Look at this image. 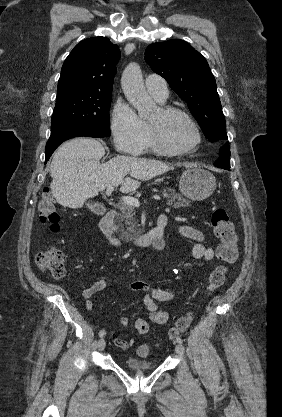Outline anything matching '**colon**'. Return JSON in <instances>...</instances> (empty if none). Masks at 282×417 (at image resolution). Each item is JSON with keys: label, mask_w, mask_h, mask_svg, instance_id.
<instances>
[{"label": "colon", "mask_w": 282, "mask_h": 417, "mask_svg": "<svg viewBox=\"0 0 282 417\" xmlns=\"http://www.w3.org/2000/svg\"><path fill=\"white\" fill-rule=\"evenodd\" d=\"M39 210L42 223L46 225L51 232H58L61 228L60 218L49 187H45L42 190L39 199ZM210 222L216 237L220 241L218 247L219 258L225 263L235 262L238 255L239 240L227 211L223 208L214 209L211 213ZM36 265L41 271L50 273L54 278H62L65 273L64 255L55 247L49 248L47 251L41 253L36 259ZM225 276V269L223 267H216L207 280L206 290L209 293L217 291L223 285ZM191 321V314H186L181 317L175 323L172 330H169V339H180L181 332L189 326ZM139 355L151 356L152 348L140 347Z\"/></svg>", "instance_id": "5ec220e1"}]
</instances>
